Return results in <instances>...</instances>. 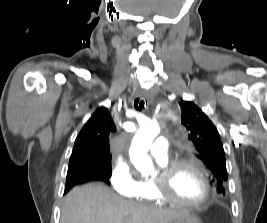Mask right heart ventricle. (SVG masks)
Returning a JSON list of instances; mask_svg holds the SVG:
<instances>
[{"instance_id": "obj_1", "label": "right heart ventricle", "mask_w": 267, "mask_h": 223, "mask_svg": "<svg viewBox=\"0 0 267 223\" xmlns=\"http://www.w3.org/2000/svg\"><path fill=\"white\" fill-rule=\"evenodd\" d=\"M158 163L160 164V166H162L167 163V160L158 159ZM132 196H135V198L140 201L153 202L156 204L162 202V200L158 198L155 192L152 179H145V178L139 179L136 192Z\"/></svg>"}]
</instances>
